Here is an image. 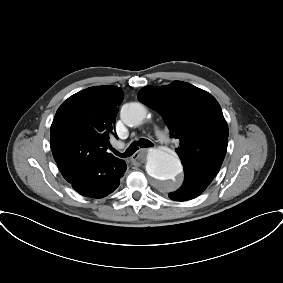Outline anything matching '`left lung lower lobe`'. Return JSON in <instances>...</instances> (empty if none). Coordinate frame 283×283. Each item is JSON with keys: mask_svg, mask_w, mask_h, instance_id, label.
Listing matches in <instances>:
<instances>
[{"mask_svg": "<svg viewBox=\"0 0 283 283\" xmlns=\"http://www.w3.org/2000/svg\"><path fill=\"white\" fill-rule=\"evenodd\" d=\"M211 183L210 180L196 178L185 174V181L180 189L169 193V198L175 201L190 200L200 195Z\"/></svg>", "mask_w": 283, "mask_h": 283, "instance_id": "left-lung-lower-lobe-1", "label": "left lung lower lobe"}]
</instances>
